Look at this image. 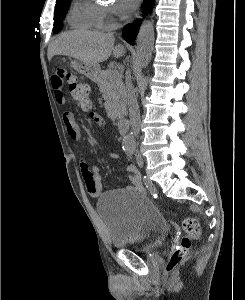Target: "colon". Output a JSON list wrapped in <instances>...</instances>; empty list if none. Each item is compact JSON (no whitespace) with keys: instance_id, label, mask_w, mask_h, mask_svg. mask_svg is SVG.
Instances as JSON below:
<instances>
[{"instance_id":"colon-1","label":"colon","mask_w":245,"mask_h":300,"mask_svg":"<svg viewBox=\"0 0 245 300\" xmlns=\"http://www.w3.org/2000/svg\"><path fill=\"white\" fill-rule=\"evenodd\" d=\"M54 73L65 80L68 84L70 94L76 105L83 111L91 108L89 86L84 83L77 75L61 67H56ZM185 237L181 245L173 252L166 266L168 272H172L184 259L191 245V240L196 239L201 233L199 221L194 217H187L182 222Z\"/></svg>"}]
</instances>
